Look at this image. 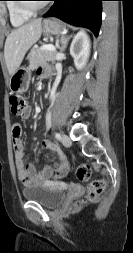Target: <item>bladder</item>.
Returning <instances> with one entry per match:
<instances>
[{
  "label": "bladder",
  "instance_id": "1",
  "mask_svg": "<svg viewBox=\"0 0 133 253\" xmlns=\"http://www.w3.org/2000/svg\"><path fill=\"white\" fill-rule=\"evenodd\" d=\"M21 194L25 200L37 202L46 208H56L64 200V192L48 184H32L24 187Z\"/></svg>",
  "mask_w": 133,
  "mask_h": 253
}]
</instances>
